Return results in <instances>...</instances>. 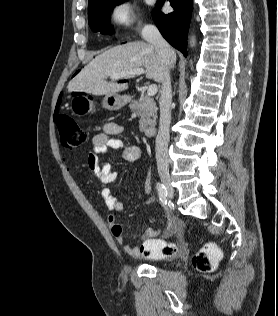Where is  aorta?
Wrapping results in <instances>:
<instances>
[{
  "label": "aorta",
  "instance_id": "obj_1",
  "mask_svg": "<svg viewBox=\"0 0 278 316\" xmlns=\"http://www.w3.org/2000/svg\"><path fill=\"white\" fill-rule=\"evenodd\" d=\"M190 44L192 47L195 45V37L194 36L191 37Z\"/></svg>",
  "mask_w": 278,
  "mask_h": 316
}]
</instances>
